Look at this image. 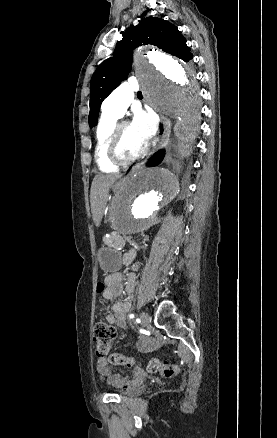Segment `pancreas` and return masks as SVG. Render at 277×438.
Listing matches in <instances>:
<instances>
[{"instance_id": "pancreas-1", "label": "pancreas", "mask_w": 277, "mask_h": 438, "mask_svg": "<svg viewBox=\"0 0 277 438\" xmlns=\"http://www.w3.org/2000/svg\"><path fill=\"white\" fill-rule=\"evenodd\" d=\"M103 240L105 244H111L112 248H123L128 239L126 235H119L118 231H108Z\"/></svg>"}]
</instances>
